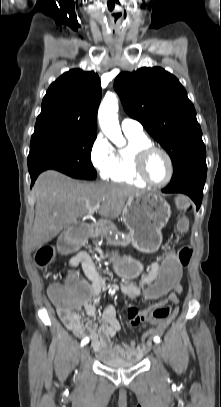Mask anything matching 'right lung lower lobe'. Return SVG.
Masks as SVG:
<instances>
[{
    "label": "right lung lower lobe",
    "instance_id": "1",
    "mask_svg": "<svg viewBox=\"0 0 221 407\" xmlns=\"http://www.w3.org/2000/svg\"><path fill=\"white\" fill-rule=\"evenodd\" d=\"M40 173H41V172H35V173L30 174V175H31V185L34 184V182H35L37 176H38Z\"/></svg>",
    "mask_w": 221,
    "mask_h": 407
}]
</instances>
